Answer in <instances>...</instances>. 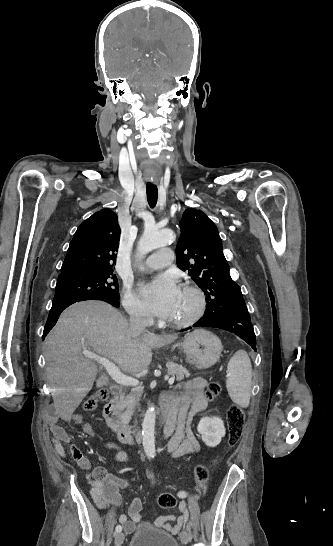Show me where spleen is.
Wrapping results in <instances>:
<instances>
[{"label":"spleen","mask_w":333,"mask_h":546,"mask_svg":"<svg viewBox=\"0 0 333 546\" xmlns=\"http://www.w3.org/2000/svg\"><path fill=\"white\" fill-rule=\"evenodd\" d=\"M252 366L244 350L237 351L227 366L226 386L231 399L243 408L249 406L251 397Z\"/></svg>","instance_id":"1"}]
</instances>
